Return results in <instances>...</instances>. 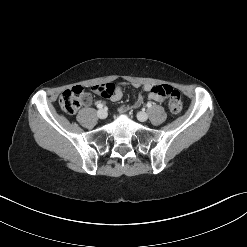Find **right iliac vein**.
I'll list each match as a JSON object with an SVG mask.
<instances>
[{"label":"right iliac vein","mask_w":247,"mask_h":247,"mask_svg":"<svg viewBox=\"0 0 247 247\" xmlns=\"http://www.w3.org/2000/svg\"><path fill=\"white\" fill-rule=\"evenodd\" d=\"M97 116L100 119H105L107 117V111L104 110V109H100V110L97 111Z\"/></svg>","instance_id":"1"}]
</instances>
